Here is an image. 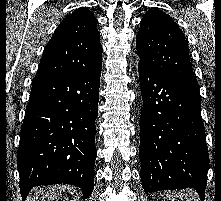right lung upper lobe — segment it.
I'll return each mask as SVG.
<instances>
[{
    "label": "right lung upper lobe",
    "mask_w": 221,
    "mask_h": 201,
    "mask_svg": "<svg viewBox=\"0 0 221 201\" xmlns=\"http://www.w3.org/2000/svg\"><path fill=\"white\" fill-rule=\"evenodd\" d=\"M97 19L87 8L66 16L48 42L37 75L69 76L100 69L102 46Z\"/></svg>",
    "instance_id": "obj_1"
}]
</instances>
